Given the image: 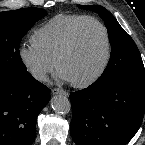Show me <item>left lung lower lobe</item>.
<instances>
[{
    "mask_svg": "<svg viewBox=\"0 0 145 145\" xmlns=\"http://www.w3.org/2000/svg\"><path fill=\"white\" fill-rule=\"evenodd\" d=\"M71 135L76 145H125L141 126L145 74L95 82L70 94Z\"/></svg>",
    "mask_w": 145,
    "mask_h": 145,
    "instance_id": "1",
    "label": "left lung lower lobe"
}]
</instances>
